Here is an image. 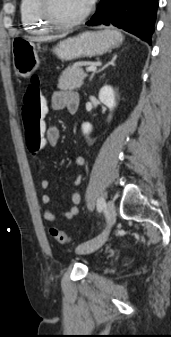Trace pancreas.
<instances>
[{
	"instance_id": "obj_1",
	"label": "pancreas",
	"mask_w": 171,
	"mask_h": 337,
	"mask_svg": "<svg viewBox=\"0 0 171 337\" xmlns=\"http://www.w3.org/2000/svg\"><path fill=\"white\" fill-rule=\"evenodd\" d=\"M89 62H82L75 65L68 66L60 75L58 88L74 90L80 88L87 74L83 71V66H88Z\"/></svg>"
}]
</instances>
